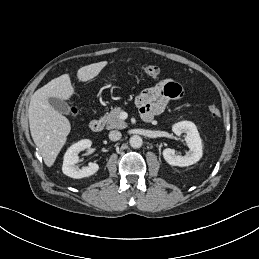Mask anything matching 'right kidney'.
<instances>
[{"mask_svg":"<svg viewBox=\"0 0 259 259\" xmlns=\"http://www.w3.org/2000/svg\"><path fill=\"white\" fill-rule=\"evenodd\" d=\"M92 142L88 139L80 140L68 148L64 155L62 171L65 175L80 179L89 177L95 174L99 170V165L96 163H90L89 166L78 168L76 165L79 162V152L89 148Z\"/></svg>","mask_w":259,"mask_h":259,"instance_id":"right-kidney-1","label":"right kidney"}]
</instances>
